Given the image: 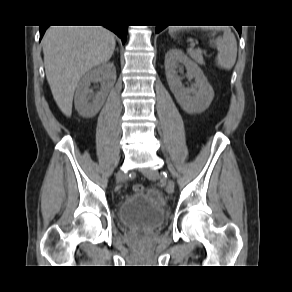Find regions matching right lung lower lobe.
<instances>
[{"label":"right lung lower lobe","instance_id":"right-lung-lower-lobe-1","mask_svg":"<svg viewBox=\"0 0 292 292\" xmlns=\"http://www.w3.org/2000/svg\"><path fill=\"white\" fill-rule=\"evenodd\" d=\"M105 27L113 31L115 34H117L122 39V42L125 43L127 35V26L113 24L105 25ZM47 28L48 27L40 26V40L42 39Z\"/></svg>","mask_w":292,"mask_h":292}]
</instances>
